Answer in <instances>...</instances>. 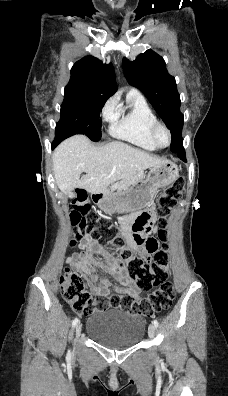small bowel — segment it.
I'll use <instances>...</instances> for the list:
<instances>
[{
  "mask_svg": "<svg viewBox=\"0 0 228 396\" xmlns=\"http://www.w3.org/2000/svg\"><path fill=\"white\" fill-rule=\"evenodd\" d=\"M151 209L152 207L147 210ZM132 220V217L122 219L120 232L126 241L127 249L139 252L140 247L134 242L131 234ZM79 248L80 252H75L67 257L66 264L87 279L93 294L109 296L128 292L133 296H138L141 293V289L124 272V266L114 258L107 256L97 239L89 237L79 244ZM97 255H102L103 258L98 259ZM101 273L113 276L121 285H113L108 278L100 277Z\"/></svg>",
  "mask_w": 228,
  "mask_h": 396,
  "instance_id": "c3829d8e",
  "label": "small bowel"
}]
</instances>
